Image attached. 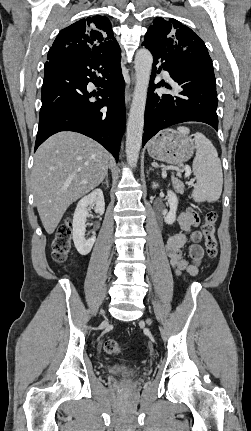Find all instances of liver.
<instances>
[{
	"mask_svg": "<svg viewBox=\"0 0 251 431\" xmlns=\"http://www.w3.org/2000/svg\"><path fill=\"white\" fill-rule=\"evenodd\" d=\"M110 155L96 141L75 132H60L36 151L32 184L41 222L48 234L67 208L97 187L108 172Z\"/></svg>",
	"mask_w": 251,
	"mask_h": 431,
	"instance_id": "6515ba94",
	"label": "liver"
}]
</instances>
